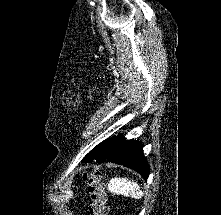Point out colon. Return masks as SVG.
Wrapping results in <instances>:
<instances>
[{
    "instance_id": "5ec220e1",
    "label": "colon",
    "mask_w": 221,
    "mask_h": 215,
    "mask_svg": "<svg viewBox=\"0 0 221 215\" xmlns=\"http://www.w3.org/2000/svg\"><path fill=\"white\" fill-rule=\"evenodd\" d=\"M81 178L88 184V189L92 200L89 209L91 215H107V194L100 175L95 173H83Z\"/></svg>"
}]
</instances>
